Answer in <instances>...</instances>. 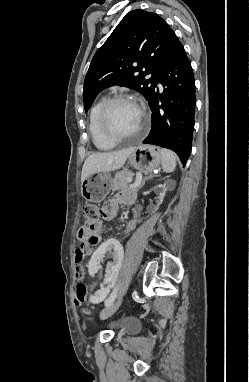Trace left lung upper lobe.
Returning a JSON list of instances; mask_svg holds the SVG:
<instances>
[{"label":"left lung upper lobe","instance_id":"5c2ea615","mask_svg":"<svg viewBox=\"0 0 249 382\" xmlns=\"http://www.w3.org/2000/svg\"><path fill=\"white\" fill-rule=\"evenodd\" d=\"M177 40L156 13H127L91 61L84 81L85 110L101 90L114 85L136 90L148 100Z\"/></svg>","mask_w":249,"mask_h":382}]
</instances>
